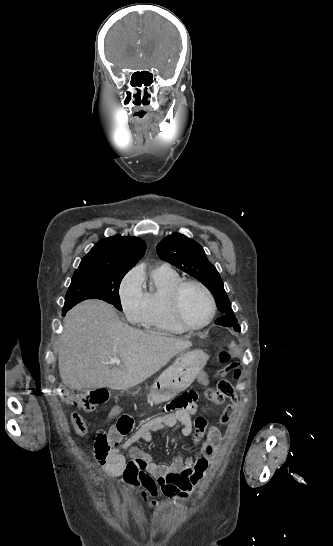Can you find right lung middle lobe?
Masks as SVG:
<instances>
[{
  "label": "right lung middle lobe",
  "instance_id": "obj_1",
  "mask_svg": "<svg viewBox=\"0 0 333 546\" xmlns=\"http://www.w3.org/2000/svg\"><path fill=\"white\" fill-rule=\"evenodd\" d=\"M127 272L128 270L98 266L86 270L83 274L74 275L66 294L63 311L86 299H101L122 310L119 286Z\"/></svg>",
  "mask_w": 333,
  "mask_h": 546
}]
</instances>
